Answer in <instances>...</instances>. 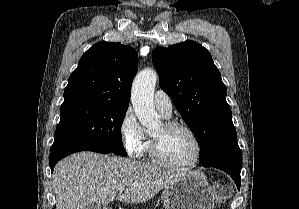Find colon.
<instances>
[{"instance_id":"colon-1","label":"colon","mask_w":299,"mask_h":209,"mask_svg":"<svg viewBox=\"0 0 299 209\" xmlns=\"http://www.w3.org/2000/svg\"><path fill=\"white\" fill-rule=\"evenodd\" d=\"M213 192L216 200L219 203H223L232 194V188L228 184L216 183L213 186Z\"/></svg>"}]
</instances>
